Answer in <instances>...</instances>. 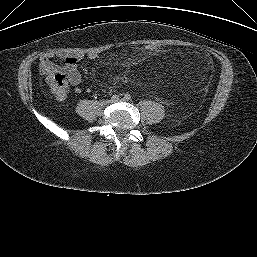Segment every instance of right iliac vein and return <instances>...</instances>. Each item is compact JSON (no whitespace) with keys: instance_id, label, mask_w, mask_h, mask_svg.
I'll return each instance as SVG.
<instances>
[{"instance_id":"obj_1","label":"right iliac vein","mask_w":257,"mask_h":257,"mask_svg":"<svg viewBox=\"0 0 257 257\" xmlns=\"http://www.w3.org/2000/svg\"><path fill=\"white\" fill-rule=\"evenodd\" d=\"M111 101H104L103 103L104 104H109Z\"/></svg>"}]
</instances>
